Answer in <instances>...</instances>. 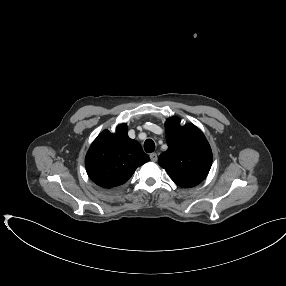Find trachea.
I'll list each match as a JSON object with an SVG mask.
<instances>
[{
	"label": "trachea",
	"mask_w": 286,
	"mask_h": 286,
	"mask_svg": "<svg viewBox=\"0 0 286 286\" xmlns=\"http://www.w3.org/2000/svg\"><path fill=\"white\" fill-rule=\"evenodd\" d=\"M144 150L147 153H152L155 150V143H154V141L152 139H147L144 142Z\"/></svg>",
	"instance_id": "trachea-1"
}]
</instances>
